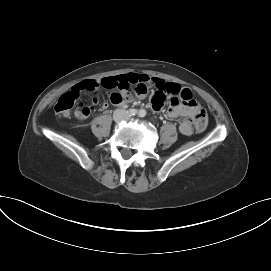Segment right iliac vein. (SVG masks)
I'll return each mask as SVG.
<instances>
[{
	"mask_svg": "<svg viewBox=\"0 0 271 271\" xmlns=\"http://www.w3.org/2000/svg\"><path fill=\"white\" fill-rule=\"evenodd\" d=\"M121 117H122V115H121V114H118V115H116V116L114 117V119H115L116 121H119V120L121 119Z\"/></svg>",
	"mask_w": 271,
	"mask_h": 271,
	"instance_id": "63e3f726",
	"label": "right iliac vein"
}]
</instances>
